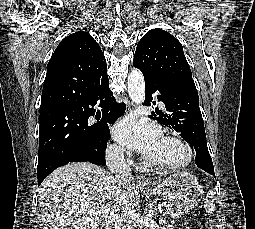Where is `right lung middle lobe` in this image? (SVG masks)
<instances>
[{"mask_svg":"<svg viewBox=\"0 0 255 229\" xmlns=\"http://www.w3.org/2000/svg\"><path fill=\"white\" fill-rule=\"evenodd\" d=\"M104 144L93 132V125L78 113H65L40 121L38 165L51 169L68 161L80 151L95 158Z\"/></svg>","mask_w":255,"mask_h":229,"instance_id":"right-lung-middle-lobe-1","label":"right lung middle lobe"}]
</instances>
